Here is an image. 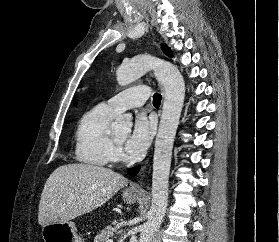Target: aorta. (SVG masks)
Wrapping results in <instances>:
<instances>
[{
    "label": "aorta",
    "instance_id": "obj_1",
    "mask_svg": "<svg viewBox=\"0 0 279 242\" xmlns=\"http://www.w3.org/2000/svg\"><path fill=\"white\" fill-rule=\"evenodd\" d=\"M151 70L163 86L164 103L154 149L152 202L139 242H151L166 212L172 149L185 98V83L178 68L151 55H138L120 65L116 71L117 81L125 86ZM131 127L132 121L128 115L117 117L111 125L115 134L128 133Z\"/></svg>",
    "mask_w": 279,
    "mask_h": 242
}]
</instances>
